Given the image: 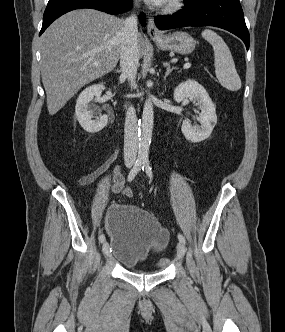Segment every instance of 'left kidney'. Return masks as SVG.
Returning <instances> with one entry per match:
<instances>
[{"label": "left kidney", "instance_id": "obj_1", "mask_svg": "<svg viewBox=\"0 0 285 332\" xmlns=\"http://www.w3.org/2000/svg\"><path fill=\"white\" fill-rule=\"evenodd\" d=\"M187 99L197 100L201 109L200 127H192L189 120L182 123V133L192 143H198L207 139L217 123L215 105L210 99L205 88L195 80H187L180 83L174 90V100L178 103Z\"/></svg>", "mask_w": 285, "mask_h": 332}]
</instances>
